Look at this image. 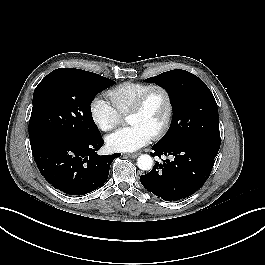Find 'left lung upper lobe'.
Listing matches in <instances>:
<instances>
[{
  "label": "left lung upper lobe",
  "instance_id": "5c2ea615",
  "mask_svg": "<svg viewBox=\"0 0 265 265\" xmlns=\"http://www.w3.org/2000/svg\"><path fill=\"white\" fill-rule=\"evenodd\" d=\"M145 81L166 89L174 108L170 128L157 144L170 145L195 140L220 148L217 104L213 94L200 78L177 69Z\"/></svg>",
  "mask_w": 265,
  "mask_h": 265
}]
</instances>
